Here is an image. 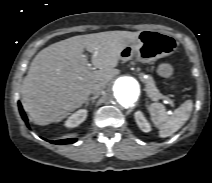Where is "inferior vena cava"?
Returning <instances> with one entry per match:
<instances>
[{
  "instance_id": "obj_1",
  "label": "inferior vena cava",
  "mask_w": 212,
  "mask_h": 183,
  "mask_svg": "<svg viewBox=\"0 0 212 183\" xmlns=\"http://www.w3.org/2000/svg\"><path fill=\"white\" fill-rule=\"evenodd\" d=\"M105 88L104 84H95L91 89V94L93 95H100Z\"/></svg>"
}]
</instances>
